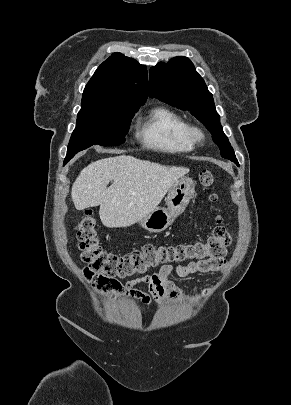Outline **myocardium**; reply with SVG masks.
Returning <instances> with one entry per match:
<instances>
[{"mask_svg": "<svg viewBox=\"0 0 291 405\" xmlns=\"http://www.w3.org/2000/svg\"><path fill=\"white\" fill-rule=\"evenodd\" d=\"M188 137L194 145H201L206 140L204 130L196 125L188 126Z\"/></svg>", "mask_w": 291, "mask_h": 405, "instance_id": "f54148a6", "label": "myocardium"}]
</instances>
